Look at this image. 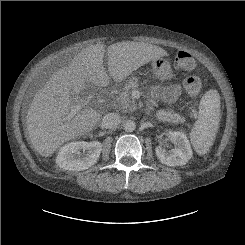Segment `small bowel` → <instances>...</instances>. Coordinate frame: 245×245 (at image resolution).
<instances>
[{
	"instance_id": "small-bowel-1",
	"label": "small bowel",
	"mask_w": 245,
	"mask_h": 245,
	"mask_svg": "<svg viewBox=\"0 0 245 245\" xmlns=\"http://www.w3.org/2000/svg\"><path fill=\"white\" fill-rule=\"evenodd\" d=\"M154 92L156 94H161L163 102L172 103L177 99L181 90H180V86L176 84L166 88L157 85L154 87Z\"/></svg>"
}]
</instances>
